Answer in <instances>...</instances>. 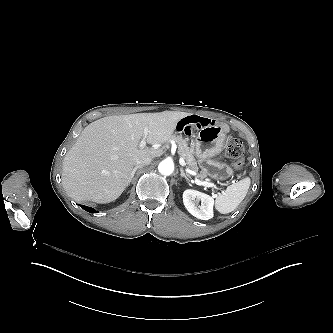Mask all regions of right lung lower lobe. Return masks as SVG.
Returning a JSON list of instances; mask_svg holds the SVG:
<instances>
[{
  "instance_id": "98d812e1",
  "label": "right lung lower lobe",
  "mask_w": 333,
  "mask_h": 333,
  "mask_svg": "<svg viewBox=\"0 0 333 333\" xmlns=\"http://www.w3.org/2000/svg\"><path fill=\"white\" fill-rule=\"evenodd\" d=\"M84 210L90 212V213H96L97 211L91 207H87V206H84V205H80Z\"/></svg>"
}]
</instances>
